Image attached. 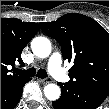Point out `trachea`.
I'll return each instance as SVG.
<instances>
[{"instance_id": "1", "label": "trachea", "mask_w": 109, "mask_h": 109, "mask_svg": "<svg viewBox=\"0 0 109 109\" xmlns=\"http://www.w3.org/2000/svg\"><path fill=\"white\" fill-rule=\"evenodd\" d=\"M16 73L18 74H24L28 77H33L35 76V74L37 73V77L38 78H46L47 77V72L44 70V69H39L37 72H36V69L35 68H30L28 70H20V69H16L15 70Z\"/></svg>"}]
</instances>
